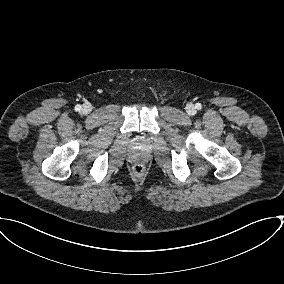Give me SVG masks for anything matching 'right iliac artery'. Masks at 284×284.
<instances>
[{"instance_id":"82829eb1","label":"right iliac artery","mask_w":284,"mask_h":284,"mask_svg":"<svg viewBox=\"0 0 284 284\" xmlns=\"http://www.w3.org/2000/svg\"><path fill=\"white\" fill-rule=\"evenodd\" d=\"M75 110H76V111H80V110H81V105H76V106H75Z\"/></svg>"}]
</instances>
